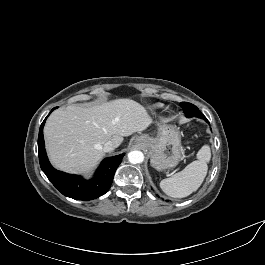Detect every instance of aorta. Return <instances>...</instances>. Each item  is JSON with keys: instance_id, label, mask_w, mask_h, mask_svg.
I'll return each instance as SVG.
<instances>
[{"instance_id": "762f6f07", "label": "aorta", "mask_w": 265, "mask_h": 265, "mask_svg": "<svg viewBox=\"0 0 265 265\" xmlns=\"http://www.w3.org/2000/svg\"><path fill=\"white\" fill-rule=\"evenodd\" d=\"M128 160L132 164L142 163L144 161V154L141 151H131L128 154Z\"/></svg>"}]
</instances>
